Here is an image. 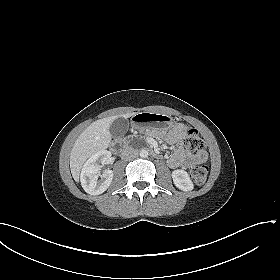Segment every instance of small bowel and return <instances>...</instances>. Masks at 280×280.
Returning <instances> with one entry per match:
<instances>
[{"label": "small bowel", "mask_w": 280, "mask_h": 280, "mask_svg": "<svg viewBox=\"0 0 280 280\" xmlns=\"http://www.w3.org/2000/svg\"><path fill=\"white\" fill-rule=\"evenodd\" d=\"M185 130L186 126L184 124H178L167 135L168 142L176 146L174 154L168 159V165L171 168H188L207 160L205 151L193 154L185 149L182 142Z\"/></svg>", "instance_id": "obj_1"}]
</instances>
